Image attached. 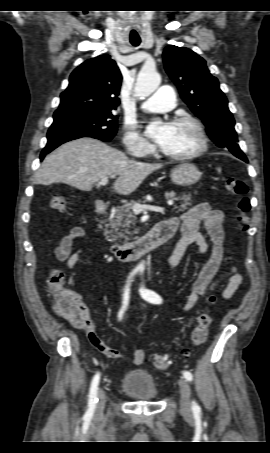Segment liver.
Listing matches in <instances>:
<instances>
[{
  "instance_id": "1",
  "label": "liver",
  "mask_w": 270,
  "mask_h": 453,
  "mask_svg": "<svg viewBox=\"0 0 270 453\" xmlns=\"http://www.w3.org/2000/svg\"><path fill=\"white\" fill-rule=\"evenodd\" d=\"M161 164H148L129 159L121 151L93 139L80 138L67 142L46 156L34 176L35 184L66 183L90 191L102 178L116 177L113 189L121 195L134 192L145 178Z\"/></svg>"
}]
</instances>
